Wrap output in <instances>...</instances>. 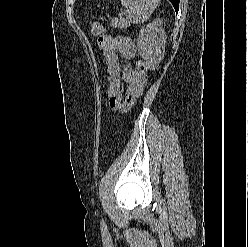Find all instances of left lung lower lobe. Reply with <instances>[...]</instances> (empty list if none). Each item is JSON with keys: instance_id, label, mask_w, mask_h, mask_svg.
<instances>
[{"instance_id": "obj_1", "label": "left lung lower lobe", "mask_w": 248, "mask_h": 247, "mask_svg": "<svg viewBox=\"0 0 248 247\" xmlns=\"http://www.w3.org/2000/svg\"><path fill=\"white\" fill-rule=\"evenodd\" d=\"M169 1L173 4V6L175 8V11L178 12V9H179V0H169Z\"/></svg>"}]
</instances>
